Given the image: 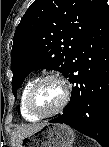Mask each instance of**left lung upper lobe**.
Segmentation results:
<instances>
[{
	"label": "left lung upper lobe",
	"mask_w": 109,
	"mask_h": 147,
	"mask_svg": "<svg viewBox=\"0 0 109 147\" xmlns=\"http://www.w3.org/2000/svg\"><path fill=\"white\" fill-rule=\"evenodd\" d=\"M106 5L105 0H36L30 5L13 38L15 97L25 77L35 69L69 75L81 39Z\"/></svg>",
	"instance_id": "left-lung-upper-lobe-1"
}]
</instances>
